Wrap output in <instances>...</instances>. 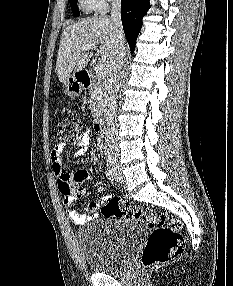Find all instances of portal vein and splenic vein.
I'll use <instances>...</instances> for the list:
<instances>
[{
    "instance_id": "18ae733b",
    "label": "portal vein and splenic vein",
    "mask_w": 233,
    "mask_h": 286,
    "mask_svg": "<svg viewBox=\"0 0 233 286\" xmlns=\"http://www.w3.org/2000/svg\"><path fill=\"white\" fill-rule=\"evenodd\" d=\"M81 51H87V50H94L95 47L87 45V46H81L80 47ZM106 73V68L103 63H97L95 66V74L97 76L102 77Z\"/></svg>"
}]
</instances>
